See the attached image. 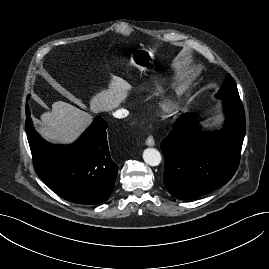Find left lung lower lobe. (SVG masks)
<instances>
[{
    "instance_id": "0a47b994",
    "label": "left lung lower lobe",
    "mask_w": 269,
    "mask_h": 269,
    "mask_svg": "<svg viewBox=\"0 0 269 269\" xmlns=\"http://www.w3.org/2000/svg\"><path fill=\"white\" fill-rule=\"evenodd\" d=\"M222 130L204 134L191 114L181 115L161 142L167 190L178 199H191L225 185L235 174L245 136L241 100L224 99Z\"/></svg>"
}]
</instances>
